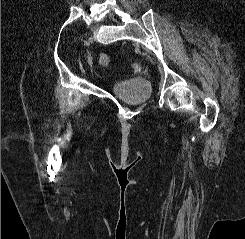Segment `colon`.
<instances>
[{
  "label": "colon",
  "instance_id": "1",
  "mask_svg": "<svg viewBox=\"0 0 245 239\" xmlns=\"http://www.w3.org/2000/svg\"><path fill=\"white\" fill-rule=\"evenodd\" d=\"M99 63L104 67L108 66L110 63V57L107 54H101L99 56Z\"/></svg>",
  "mask_w": 245,
  "mask_h": 239
}]
</instances>
